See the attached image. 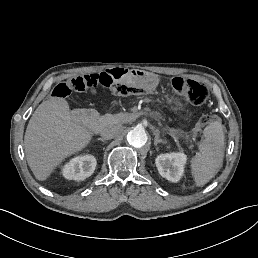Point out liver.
<instances>
[{
  "instance_id": "6515ba94",
  "label": "liver",
  "mask_w": 258,
  "mask_h": 258,
  "mask_svg": "<svg viewBox=\"0 0 258 258\" xmlns=\"http://www.w3.org/2000/svg\"><path fill=\"white\" fill-rule=\"evenodd\" d=\"M85 109L69 111L60 98L43 101L33 113L24 138L26 159L38 180H44L66 156L80 150L91 135L82 121Z\"/></svg>"
}]
</instances>
